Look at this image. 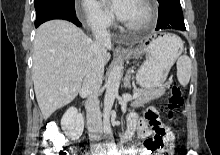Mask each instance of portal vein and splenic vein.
Listing matches in <instances>:
<instances>
[{"label":"portal vein and splenic vein","mask_w":220,"mask_h":155,"mask_svg":"<svg viewBox=\"0 0 220 155\" xmlns=\"http://www.w3.org/2000/svg\"><path fill=\"white\" fill-rule=\"evenodd\" d=\"M141 93L140 92H134L133 93V99H136Z\"/></svg>","instance_id":"18ae733b"}]
</instances>
